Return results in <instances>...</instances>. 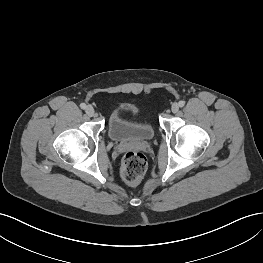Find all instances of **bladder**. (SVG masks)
<instances>
[{"mask_svg": "<svg viewBox=\"0 0 263 263\" xmlns=\"http://www.w3.org/2000/svg\"><path fill=\"white\" fill-rule=\"evenodd\" d=\"M153 124L132 104L118 107L108 124L109 137L116 142H145L154 137Z\"/></svg>", "mask_w": 263, "mask_h": 263, "instance_id": "1", "label": "bladder"}]
</instances>
